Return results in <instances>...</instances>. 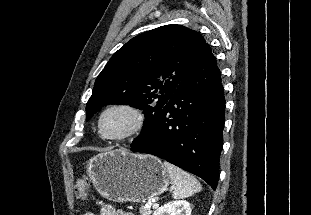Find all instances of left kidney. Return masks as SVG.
Returning <instances> with one entry per match:
<instances>
[{"label":"left kidney","instance_id":"1","mask_svg":"<svg viewBox=\"0 0 311 215\" xmlns=\"http://www.w3.org/2000/svg\"><path fill=\"white\" fill-rule=\"evenodd\" d=\"M191 205L185 200L169 202L158 208L153 215H191Z\"/></svg>","mask_w":311,"mask_h":215}]
</instances>
